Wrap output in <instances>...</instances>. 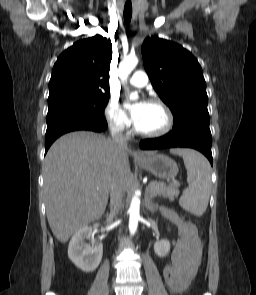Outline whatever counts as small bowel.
Returning <instances> with one entry per match:
<instances>
[{"label": "small bowel", "mask_w": 256, "mask_h": 295, "mask_svg": "<svg viewBox=\"0 0 256 295\" xmlns=\"http://www.w3.org/2000/svg\"><path fill=\"white\" fill-rule=\"evenodd\" d=\"M161 212L164 218L176 225L180 236L173 248L171 263L162 272L171 294L176 295L187 288L195 274L201 259V242L192 223L170 209H162Z\"/></svg>", "instance_id": "c3829d8e"}]
</instances>
